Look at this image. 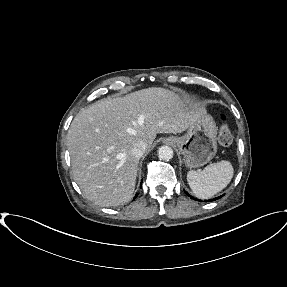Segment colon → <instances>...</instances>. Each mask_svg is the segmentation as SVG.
Here are the masks:
<instances>
[{
    "label": "colon",
    "instance_id": "5ec220e1",
    "mask_svg": "<svg viewBox=\"0 0 287 287\" xmlns=\"http://www.w3.org/2000/svg\"><path fill=\"white\" fill-rule=\"evenodd\" d=\"M218 141L224 147H228L233 143V134L226 122H223L220 126Z\"/></svg>",
    "mask_w": 287,
    "mask_h": 287
}]
</instances>
